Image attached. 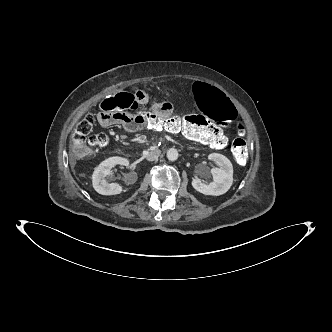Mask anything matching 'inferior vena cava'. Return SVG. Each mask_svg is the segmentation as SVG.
I'll return each instance as SVG.
<instances>
[{"label": "inferior vena cava", "mask_w": 332, "mask_h": 332, "mask_svg": "<svg viewBox=\"0 0 332 332\" xmlns=\"http://www.w3.org/2000/svg\"><path fill=\"white\" fill-rule=\"evenodd\" d=\"M159 155H160V151H159V150H157V151H152V152H150V153L147 155V160H148V161H154V160L158 159Z\"/></svg>", "instance_id": "inferior-vena-cava-1"}]
</instances>
